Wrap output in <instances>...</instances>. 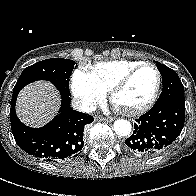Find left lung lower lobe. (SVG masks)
<instances>
[{"instance_id":"0a47b994","label":"left lung lower lobe","mask_w":196,"mask_h":196,"mask_svg":"<svg viewBox=\"0 0 196 196\" xmlns=\"http://www.w3.org/2000/svg\"><path fill=\"white\" fill-rule=\"evenodd\" d=\"M185 122V102L164 101L139 117L133 134L126 139L125 149L143 157L154 156L171 145Z\"/></svg>"}]
</instances>
